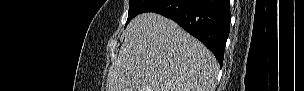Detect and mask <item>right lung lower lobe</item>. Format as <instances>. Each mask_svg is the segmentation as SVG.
Here are the masks:
<instances>
[{
	"label": "right lung lower lobe",
	"instance_id": "obj_1",
	"mask_svg": "<svg viewBox=\"0 0 304 91\" xmlns=\"http://www.w3.org/2000/svg\"><path fill=\"white\" fill-rule=\"evenodd\" d=\"M145 12L174 20L208 47L222 66L230 31L229 0H150L141 10Z\"/></svg>",
	"mask_w": 304,
	"mask_h": 91
}]
</instances>
